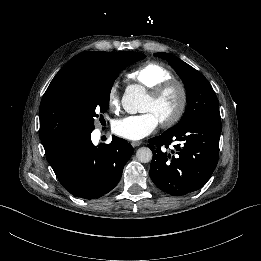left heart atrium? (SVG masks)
<instances>
[{"instance_id": "1", "label": "left heart atrium", "mask_w": 261, "mask_h": 261, "mask_svg": "<svg viewBox=\"0 0 261 261\" xmlns=\"http://www.w3.org/2000/svg\"><path fill=\"white\" fill-rule=\"evenodd\" d=\"M159 120L153 112L127 116L117 120L112 129L114 134L130 141H139L155 131Z\"/></svg>"}]
</instances>
